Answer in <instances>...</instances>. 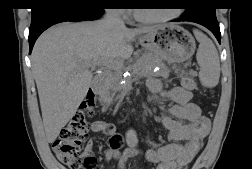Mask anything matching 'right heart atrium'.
I'll use <instances>...</instances> for the list:
<instances>
[{
	"instance_id": "obj_1",
	"label": "right heart atrium",
	"mask_w": 252,
	"mask_h": 169,
	"mask_svg": "<svg viewBox=\"0 0 252 169\" xmlns=\"http://www.w3.org/2000/svg\"><path fill=\"white\" fill-rule=\"evenodd\" d=\"M112 13L116 15L117 17L121 19H127L129 16V10L128 9H111Z\"/></svg>"
}]
</instances>
